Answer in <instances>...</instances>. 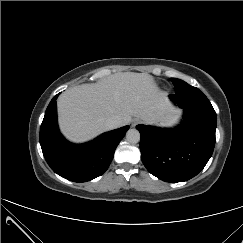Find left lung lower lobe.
Listing matches in <instances>:
<instances>
[{
    "label": "left lung lower lobe",
    "instance_id": "left-lung-lower-lobe-1",
    "mask_svg": "<svg viewBox=\"0 0 243 243\" xmlns=\"http://www.w3.org/2000/svg\"><path fill=\"white\" fill-rule=\"evenodd\" d=\"M169 97L184 109L181 125L162 129L140 124L136 129L147 170L165 182L177 183L196 176L212 156L217 117L214 109L198 107L202 92L196 87L188 85Z\"/></svg>",
    "mask_w": 243,
    "mask_h": 243
}]
</instances>
